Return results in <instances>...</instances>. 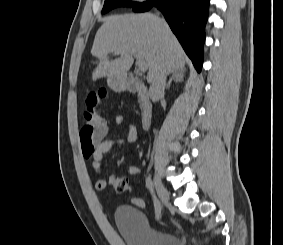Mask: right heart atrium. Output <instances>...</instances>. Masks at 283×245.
Segmentation results:
<instances>
[{
    "mask_svg": "<svg viewBox=\"0 0 283 245\" xmlns=\"http://www.w3.org/2000/svg\"><path fill=\"white\" fill-rule=\"evenodd\" d=\"M133 2H136V3H144V2H146V1H148V0H132Z\"/></svg>",
    "mask_w": 283,
    "mask_h": 245,
    "instance_id": "right-heart-atrium-1",
    "label": "right heart atrium"
}]
</instances>
